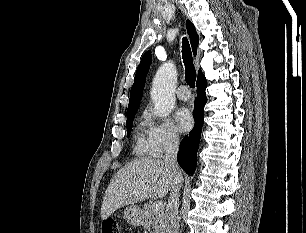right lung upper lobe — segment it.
<instances>
[{
	"label": "right lung upper lobe",
	"mask_w": 306,
	"mask_h": 233,
	"mask_svg": "<svg viewBox=\"0 0 306 233\" xmlns=\"http://www.w3.org/2000/svg\"><path fill=\"white\" fill-rule=\"evenodd\" d=\"M186 28H187L188 35L190 37L193 54L196 55L197 46L199 43V37L196 33L194 25L189 20L186 21ZM151 61H152L151 52L148 51L143 55L141 62L136 71L135 81L130 91V101H129V105L127 109V116L132 113H136L140 106V100L143 96L145 79H146V75L148 73ZM201 74L202 72L201 70H199L198 76Z\"/></svg>",
	"instance_id": "right-lung-upper-lobe-1"
}]
</instances>
